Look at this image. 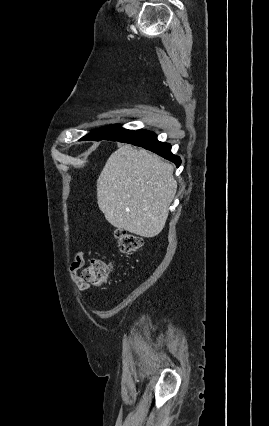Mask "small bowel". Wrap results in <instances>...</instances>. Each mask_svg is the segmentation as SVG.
<instances>
[{"label": "small bowel", "mask_w": 269, "mask_h": 426, "mask_svg": "<svg viewBox=\"0 0 269 426\" xmlns=\"http://www.w3.org/2000/svg\"><path fill=\"white\" fill-rule=\"evenodd\" d=\"M84 264L85 253L83 251H76L73 253V259L71 261L69 270L71 279L78 290L88 292L92 289L91 285L86 283L82 277L78 275V271L84 266Z\"/></svg>", "instance_id": "c3829d8e"}]
</instances>
